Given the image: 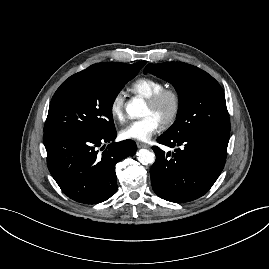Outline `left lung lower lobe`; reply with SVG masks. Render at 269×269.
Listing matches in <instances>:
<instances>
[{"mask_svg": "<svg viewBox=\"0 0 269 269\" xmlns=\"http://www.w3.org/2000/svg\"><path fill=\"white\" fill-rule=\"evenodd\" d=\"M230 131L196 130L182 136L161 135L157 142L175 148L152 149L156 161L150 170L157 196L170 202L193 201L209 191L223 170Z\"/></svg>", "mask_w": 269, "mask_h": 269, "instance_id": "obj_1", "label": "left lung lower lobe"}]
</instances>
